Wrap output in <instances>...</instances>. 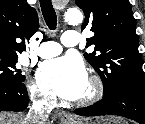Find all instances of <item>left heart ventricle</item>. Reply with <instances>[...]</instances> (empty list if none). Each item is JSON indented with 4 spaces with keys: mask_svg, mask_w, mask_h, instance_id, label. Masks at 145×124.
<instances>
[{
    "mask_svg": "<svg viewBox=\"0 0 145 124\" xmlns=\"http://www.w3.org/2000/svg\"><path fill=\"white\" fill-rule=\"evenodd\" d=\"M91 92V85L87 82L85 89L79 99L86 97Z\"/></svg>",
    "mask_w": 145,
    "mask_h": 124,
    "instance_id": "obj_1",
    "label": "left heart ventricle"
}]
</instances>
